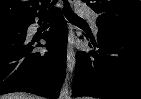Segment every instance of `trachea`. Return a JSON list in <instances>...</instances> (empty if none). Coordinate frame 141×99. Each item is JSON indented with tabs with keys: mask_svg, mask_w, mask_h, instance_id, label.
Returning <instances> with one entry per match:
<instances>
[{
	"mask_svg": "<svg viewBox=\"0 0 141 99\" xmlns=\"http://www.w3.org/2000/svg\"><path fill=\"white\" fill-rule=\"evenodd\" d=\"M63 13L65 15V17L70 21V22H73V23H84L85 20H83L82 18H80L79 16H77V14H75L71 7H70V4L67 0H63Z\"/></svg>",
	"mask_w": 141,
	"mask_h": 99,
	"instance_id": "trachea-1",
	"label": "trachea"
}]
</instances>
